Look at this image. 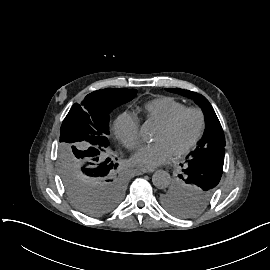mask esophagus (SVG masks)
<instances>
[{
	"instance_id": "obj_1",
	"label": "esophagus",
	"mask_w": 270,
	"mask_h": 270,
	"mask_svg": "<svg viewBox=\"0 0 270 270\" xmlns=\"http://www.w3.org/2000/svg\"><path fill=\"white\" fill-rule=\"evenodd\" d=\"M140 171L142 173H151V172L155 171V168L154 167H144V168H141Z\"/></svg>"
}]
</instances>
